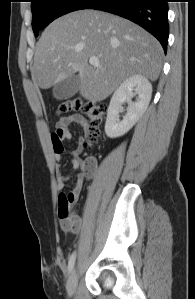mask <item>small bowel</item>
Wrapping results in <instances>:
<instances>
[{"label":"small bowel","mask_w":195,"mask_h":299,"mask_svg":"<svg viewBox=\"0 0 195 299\" xmlns=\"http://www.w3.org/2000/svg\"><path fill=\"white\" fill-rule=\"evenodd\" d=\"M71 125H77L85 133V136L79 139L77 146L70 151L72 168L73 170H77L79 167L84 166L85 169L89 170V174H92L95 169L94 159H89L84 164L80 159V155L82 154V152L86 147L87 132L89 127L86 120L81 115L78 114H73L61 118L57 123L56 130L51 134V141L55 150L56 167L57 169H59L61 164V157L63 153L62 143L64 141L71 140L73 137L72 131L70 129ZM68 179H69L68 176H64L58 173L57 176L58 190L61 191L64 189L65 183ZM81 186H82V176L78 175L76 184L66 195L69 197L70 196L73 197V203H75L78 199ZM60 226L64 231L77 233L82 229L83 219L80 215L73 213L69 217H60Z\"/></svg>","instance_id":"1"}]
</instances>
